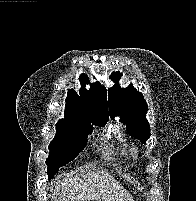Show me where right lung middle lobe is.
I'll return each mask as SVG.
<instances>
[{"label": "right lung middle lobe", "instance_id": "1", "mask_svg": "<svg viewBox=\"0 0 196 201\" xmlns=\"http://www.w3.org/2000/svg\"><path fill=\"white\" fill-rule=\"evenodd\" d=\"M108 118L87 117L78 114L65 115L56 124V135L49 145L50 153L46 159L49 179L61 166L76 158L87 143L92 125H104Z\"/></svg>", "mask_w": 196, "mask_h": 201}]
</instances>
